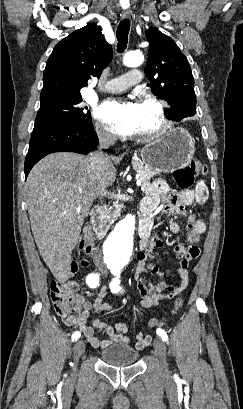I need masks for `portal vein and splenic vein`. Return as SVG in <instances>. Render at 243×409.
I'll return each mask as SVG.
<instances>
[{"label":"portal vein and splenic vein","instance_id":"obj_1","mask_svg":"<svg viewBox=\"0 0 243 409\" xmlns=\"http://www.w3.org/2000/svg\"><path fill=\"white\" fill-rule=\"evenodd\" d=\"M141 184H142V181H141V179L139 178V175L137 176V180H136V185L137 186H141ZM81 209V207L80 206H78L77 207V210H80Z\"/></svg>","mask_w":243,"mask_h":409}]
</instances>
